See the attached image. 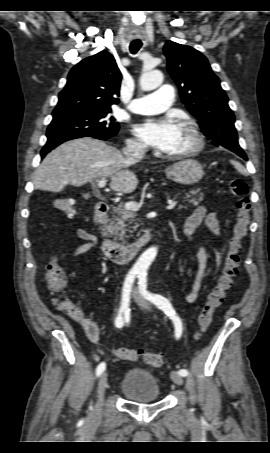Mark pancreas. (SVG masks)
<instances>
[{
    "label": "pancreas",
    "instance_id": "cf45deb5",
    "mask_svg": "<svg viewBox=\"0 0 270 453\" xmlns=\"http://www.w3.org/2000/svg\"><path fill=\"white\" fill-rule=\"evenodd\" d=\"M199 190L190 191L189 194H186L184 201H187L188 204L193 206H198L201 201H203V194L200 193L197 195ZM182 208H187V206H181ZM136 213L130 210H127L123 206H118L113 208V215L110 220H107L105 223H108L105 226L106 234L118 235L119 240H124L129 238L132 235H126V233H133L132 229L135 227L132 224L135 222Z\"/></svg>",
    "mask_w": 270,
    "mask_h": 453
}]
</instances>
